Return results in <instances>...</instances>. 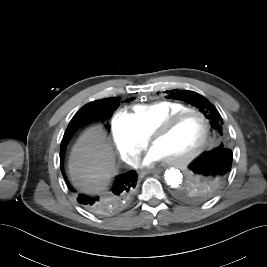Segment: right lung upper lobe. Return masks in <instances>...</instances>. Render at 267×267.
Here are the masks:
<instances>
[{"label": "right lung upper lobe", "mask_w": 267, "mask_h": 267, "mask_svg": "<svg viewBox=\"0 0 267 267\" xmlns=\"http://www.w3.org/2000/svg\"><path fill=\"white\" fill-rule=\"evenodd\" d=\"M101 100H98V101H94V102H97V104L100 102Z\"/></svg>", "instance_id": "obj_1"}]
</instances>
